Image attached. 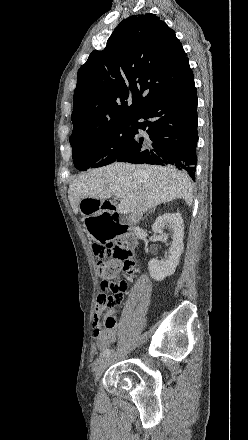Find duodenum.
<instances>
[{
    "label": "duodenum",
    "mask_w": 248,
    "mask_h": 440,
    "mask_svg": "<svg viewBox=\"0 0 248 440\" xmlns=\"http://www.w3.org/2000/svg\"><path fill=\"white\" fill-rule=\"evenodd\" d=\"M104 209H110L112 218V228H116V234H118L122 241L130 248L136 246L137 234L133 232L127 222L121 218V216L116 212L115 205L110 200H105L103 202Z\"/></svg>",
    "instance_id": "1"
}]
</instances>
